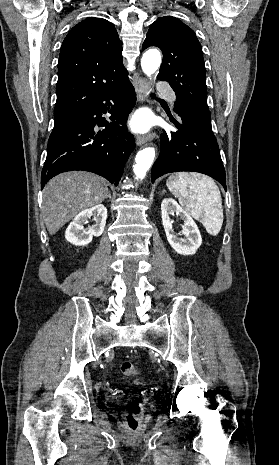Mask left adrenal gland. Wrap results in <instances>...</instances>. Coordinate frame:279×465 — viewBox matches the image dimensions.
I'll list each match as a JSON object with an SVG mask.
<instances>
[{"mask_svg": "<svg viewBox=\"0 0 279 465\" xmlns=\"http://www.w3.org/2000/svg\"><path fill=\"white\" fill-rule=\"evenodd\" d=\"M162 193H166V191H165V190H162Z\"/></svg>", "mask_w": 279, "mask_h": 465, "instance_id": "left-adrenal-gland-1", "label": "left adrenal gland"}]
</instances>
